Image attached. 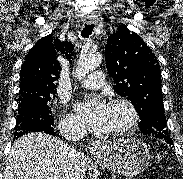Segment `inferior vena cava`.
Here are the masks:
<instances>
[{"mask_svg":"<svg viewBox=\"0 0 183 179\" xmlns=\"http://www.w3.org/2000/svg\"><path fill=\"white\" fill-rule=\"evenodd\" d=\"M63 136L69 142H75L83 137V130L71 128L64 132ZM68 169L69 179H83V173L80 169V155L74 147L68 146Z\"/></svg>","mask_w":183,"mask_h":179,"instance_id":"obj_1","label":"inferior vena cava"}]
</instances>
